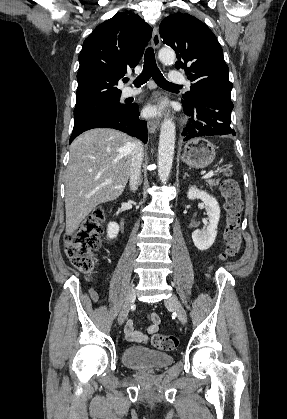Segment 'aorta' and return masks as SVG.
I'll return each instance as SVG.
<instances>
[{
	"label": "aorta",
	"mask_w": 287,
	"mask_h": 419,
	"mask_svg": "<svg viewBox=\"0 0 287 419\" xmlns=\"http://www.w3.org/2000/svg\"><path fill=\"white\" fill-rule=\"evenodd\" d=\"M158 57L164 64H172L176 55L170 48H162ZM176 126L172 118L167 115L161 124L159 145H158V175L162 183H166L171 172L174 148H175Z\"/></svg>",
	"instance_id": "762f6f07"
}]
</instances>
